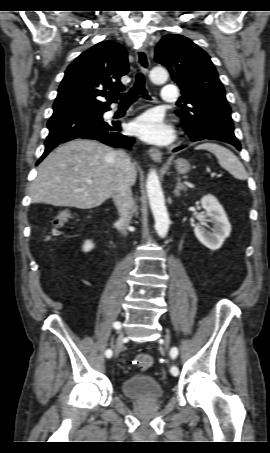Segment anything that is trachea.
I'll return each mask as SVG.
<instances>
[{"mask_svg": "<svg viewBox=\"0 0 270 453\" xmlns=\"http://www.w3.org/2000/svg\"><path fill=\"white\" fill-rule=\"evenodd\" d=\"M139 95H142L146 99H150L145 88V78L141 72L136 74V80L133 87L127 93L121 94L120 103L122 105H130L137 100Z\"/></svg>", "mask_w": 270, "mask_h": 453, "instance_id": "3493384b", "label": "trachea"}]
</instances>
